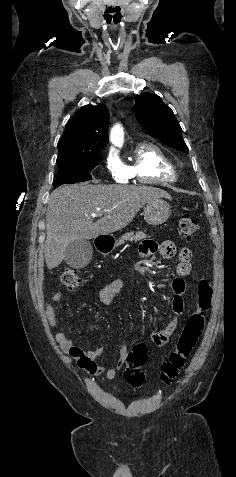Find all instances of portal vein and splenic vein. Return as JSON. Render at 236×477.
<instances>
[{"label":"portal vein and splenic vein","mask_w":236,"mask_h":477,"mask_svg":"<svg viewBox=\"0 0 236 477\" xmlns=\"http://www.w3.org/2000/svg\"><path fill=\"white\" fill-rule=\"evenodd\" d=\"M103 214H104V212H96V213H92L91 216L92 217H101V216H103Z\"/></svg>","instance_id":"18ae733b"}]
</instances>
